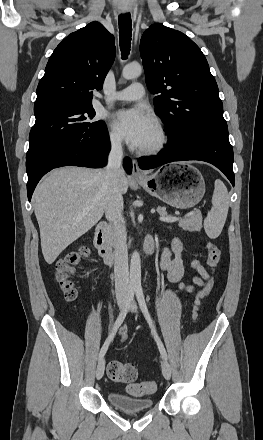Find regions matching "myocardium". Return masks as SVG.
<instances>
[{"label": "myocardium", "mask_w": 263, "mask_h": 440, "mask_svg": "<svg viewBox=\"0 0 263 440\" xmlns=\"http://www.w3.org/2000/svg\"><path fill=\"white\" fill-rule=\"evenodd\" d=\"M152 126L156 133V140L149 146L138 147L137 152L142 155H153L162 151L169 143L170 137L167 129L158 119H152Z\"/></svg>", "instance_id": "f54148a6"}]
</instances>
